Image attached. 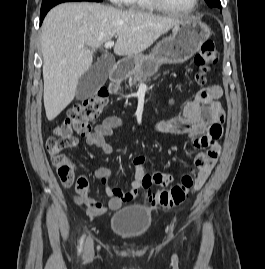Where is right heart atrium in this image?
Listing matches in <instances>:
<instances>
[{"instance_id": "obj_1", "label": "right heart atrium", "mask_w": 265, "mask_h": 269, "mask_svg": "<svg viewBox=\"0 0 265 269\" xmlns=\"http://www.w3.org/2000/svg\"><path fill=\"white\" fill-rule=\"evenodd\" d=\"M114 5H121L125 2V0H109Z\"/></svg>"}]
</instances>
